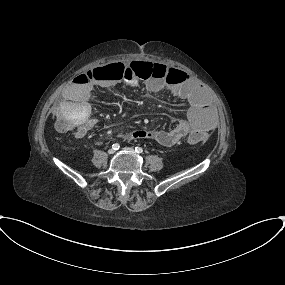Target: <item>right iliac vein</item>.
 Instances as JSON below:
<instances>
[{"mask_svg": "<svg viewBox=\"0 0 285 285\" xmlns=\"http://www.w3.org/2000/svg\"><path fill=\"white\" fill-rule=\"evenodd\" d=\"M114 152H115V151H114L113 149H109V150H108V153L111 154V155L114 154Z\"/></svg>", "mask_w": 285, "mask_h": 285, "instance_id": "right-iliac-vein-1", "label": "right iliac vein"}]
</instances>
